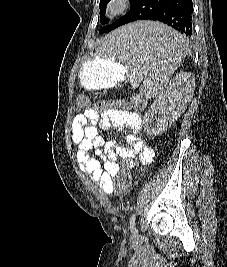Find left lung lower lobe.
Instances as JSON below:
<instances>
[{
  "label": "left lung lower lobe",
  "mask_w": 227,
  "mask_h": 267,
  "mask_svg": "<svg viewBox=\"0 0 227 267\" xmlns=\"http://www.w3.org/2000/svg\"><path fill=\"white\" fill-rule=\"evenodd\" d=\"M130 10L113 24L104 27L100 33L110 32L122 25L138 20L159 21L179 31L185 36H191L192 26V0H130ZM150 47H171V41L147 37Z\"/></svg>",
  "instance_id": "1"
}]
</instances>
